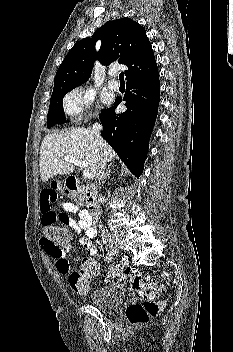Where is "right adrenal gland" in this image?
Listing matches in <instances>:
<instances>
[{
	"mask_svg": "<svg viewBox=\"0 0 233 352\" xmlns=\"http://www.w3.org/2000/svg\"><path fill=\"white\" fill-rule=\"evenodd\" d=\"M111 166H112V164H109V167H108V169L106 171V174L104 175V177L102 179V182H101L102 186L104 185V183L107 180V178L111 175Z\"/></svg>",
	"mask_w": 233,
	"mask_h": 352,
	"instance_id": "obj_1",
	"label": "right adrenal gland"
}]
</instances>
